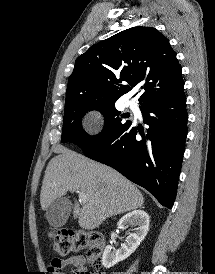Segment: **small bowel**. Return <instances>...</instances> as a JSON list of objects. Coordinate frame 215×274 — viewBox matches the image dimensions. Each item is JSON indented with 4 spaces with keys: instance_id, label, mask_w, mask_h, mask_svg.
I'll list each match as a JSON object with an SVG mask.
<instances>
[{
    "instance_id": "obj_1",
    "label": "small bowel",
    "mask_w": 215,
    "mask_h": 274,
    "mask_svg": "<svg viewBox=\"0 0 215 274\" xmlns=\"http://www.w3.org/2000/svg\"><path fill=\"white\" fill-rule=\"evenodd\" d=\"M71 268L73 274H86V260L82 255H75L65 259L55 258L48 267V272L52 274H65L64 269ZM106 274V273H100Z\"/></svg>"
}]
</instances>
